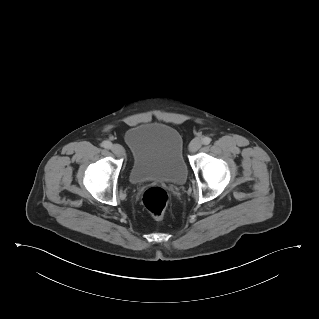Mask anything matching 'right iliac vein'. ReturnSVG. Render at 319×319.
Segmentation results:
<instances>
[{
	"mask_svg": "<svg viewBox=\"0 0 319 319\" xmlns=\"http://www.w3.org/2000/svg\"><path fill=\"white\" fill-rule=\"evenodd\" d=\"M111 150L118 157H122L125 154L123 147L119 144L112 145Z\"/></svg>",
	"mask_w": 319,
	"mask_h": 319,
	"instance_id": "obj_1",
	"label": "right iliac vein"
}]
</instances>
